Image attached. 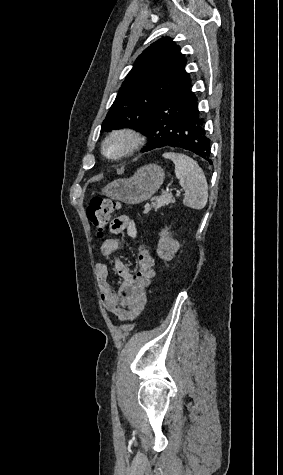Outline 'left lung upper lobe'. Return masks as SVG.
Listing matches in <instances>:
<instances>
[{
  "label": "left lung upper lobe",
  "instance_id": "1",
  "mask_svg": "<svg viewBox=\"0 0 283 475\" xmlns=\"http://www.w3.org/2000/svg\"><path fill=\"white\" fill-rule=\"evenodd\" d=\"M186 59L168 37L145 49L135 61L111 106L101 131L130 126L142 132L154 107L189 77Z\"/></svg>",
  "mask_w": 283,
  "mask_h": 475
}]
</instances>
